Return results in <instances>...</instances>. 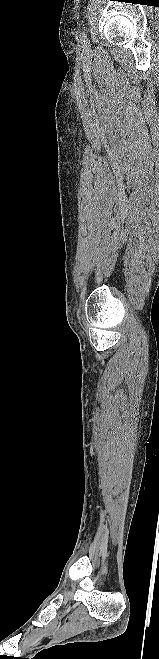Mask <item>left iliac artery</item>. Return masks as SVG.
Instances as JSON below:
<instances>
[{
  "instance_id": "obj_1",
  "label": "left iliac artery",
  "mask_w": 159,
  "mask_h": 659,
  "mask_svg": "<svg viewBox=\"0 0 159 659\" xmlns=\"http://www.w3.org/2000/svg\"><path fill=\"white\" fill-rule=\"evenodd\" d=\"M82 38H83V42H84L86 45L89 44V40L87 39L86 29H85V27L83 28Z\"/></svg>"
}]
</instances>
